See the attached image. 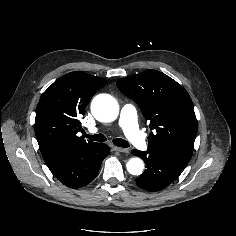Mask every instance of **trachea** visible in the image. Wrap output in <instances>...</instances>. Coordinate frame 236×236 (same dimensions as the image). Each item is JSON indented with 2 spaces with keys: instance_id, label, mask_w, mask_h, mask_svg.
<instances>
[{
  "instance_id": "3493384b",
  "label": "trachea",
  "mask_w": 236,
  "mask_h": 236,
  "mask_svg": "<svg viewBox=\"0 0 236 236\" xmlns=\"http://www.w3.org/2000/svg\"><path fill=\"white\" fill-rule=\"evenodd\" d=\"M85 136L92 141H99V142L107 141V138L103 134H95V135L85 134ZM112 142L118 147H124V148L129 147V143L122 138L113 139Z\"/></svg>"
}]
</instances>
